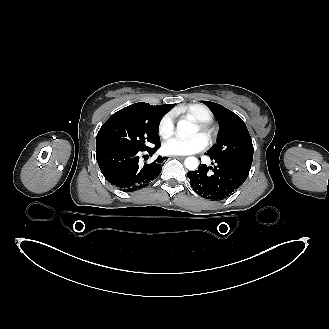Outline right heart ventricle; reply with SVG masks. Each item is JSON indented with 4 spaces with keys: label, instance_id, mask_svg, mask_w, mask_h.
Wrapping results in <instances>:
<instances>
[{
    "label": "right heart ventricle",
    "instance_id": "e07e8e85",
    "mask_svg": "<svg viewBox=\"0 0 329 329\" xmlns=\"http://www.w3.org/2000/svg\"><path fill=\"white\" fill-rule=\"evenodd\" d=\"M178 113H182L196 122L210 123L213 120V113L211 110L202 104H191L182 107L178 110Z\"/></svg>",
    "mask_w": 329,
    "mask_h": 329
}]
</instances>
